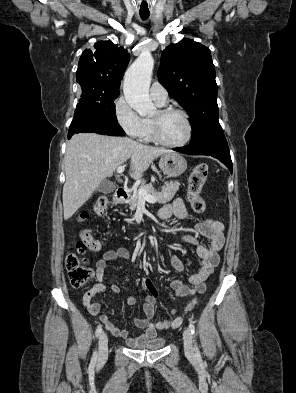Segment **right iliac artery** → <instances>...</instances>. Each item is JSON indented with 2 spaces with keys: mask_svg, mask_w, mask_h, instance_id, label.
I'll list each match as a JSON object with an SVG mask.
<instances>
[{
  "mask_svg": "<svg viewBox=\"0 0 296 393\" xmlns=\"http://www.w3.org/2000/svg\"><path fill=\"white\" fill-rule=\"evenodd\" d=\"M101 333H102V326H98V328L96 329V332H95L96 337H99ZM97 358H98L97 351H94L93 357L91 360L92 365H95Z\"/></svg>",
  "mask_w": 296,
  "mask_h": 393,
  "instance_id": "right-iliac-artery-1",
  "label": "right iliac artery"
}]
</instances>
